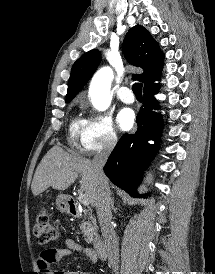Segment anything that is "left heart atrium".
I'll return each mask as SVG.
<instances>
[{
	"label": "left heart atrium",
	"instance_id": "obj_1",
	"mask_svg": "<svg viewBox=\"0 0 215 274\" xmlns=\"http://www.w3.org/2000/svg\"><path fill=\"white\" fill-rule=\"evenodd\" d=\"M134 119V112L130 108H123L117 115V123L122 130H129L134 124Z\"/></svg>",
	"mask_w": 215,
	"mask_h": 274
}]
</instances>
